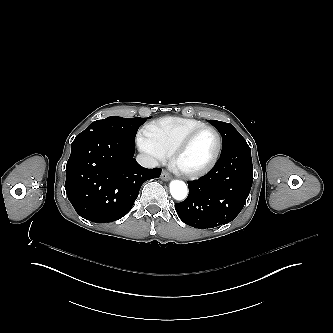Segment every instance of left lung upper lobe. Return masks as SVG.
Here are the masks:
<instances>
[{
	"label": "left lung upper lobe",
	"mask_w": 333,
	"mask_h": 333,
	"mask_svg": "<svg viewBox=\"0 0 333 333\" xmlns=\"http://www.w3.org/2000/svg\"><path fill=\"white\" fill-rule=\"evenodd\" d=\"M209 122L217 128L222 136V153H225L233 147L246 144L243 136L230 123H225L217 120H209Z\"/></svg>",
	"instance_id": "5c2ea615"
}]
</instances>
